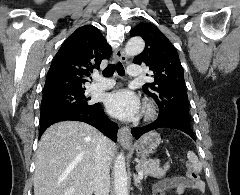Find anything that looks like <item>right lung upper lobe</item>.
<instances>
[{
    "mask_svg": "<svg viewBox=\"0 0 240 195\" xmlns=\"http://www.w3.org/2000/svg\"><path fill=\"white\" fill-rule=\"evenodd\" d=\"M111 46L98 28L85 25L68 37L58 50L47 74L43 95L85 89L89 71L111 56Z\"/></svg>",
    "mask_w": 240,
    "mask_h": 195,
    "instance_id": "obj_1",
    "label": "right lung upper lobe"
}]
</instances>
